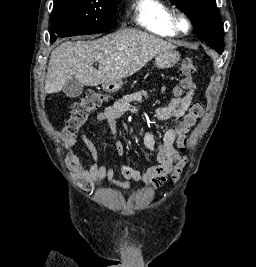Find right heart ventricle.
Returning a JSON list of instances; mask_svg holds the SVG:
<instances>
[{
  "instance_id": "right-heart-ventricle-1",
  "label": "right heart ventricle",
  "mask_w": 256,
  "mask_h": 267,
  "mask_svg": "<svg viewBox=\"0 0 256 267\" xmlns=\"http://www.w3.org/2000/svg\"><path fill=\"white\" fill-rule=\"evenodd\" d=\"M154 0H141V8H152ZM142 27L154 36H178V31L172 23V13L168 10H155L153 19L142 22Z\"/></svg>"
}]
</instances>
